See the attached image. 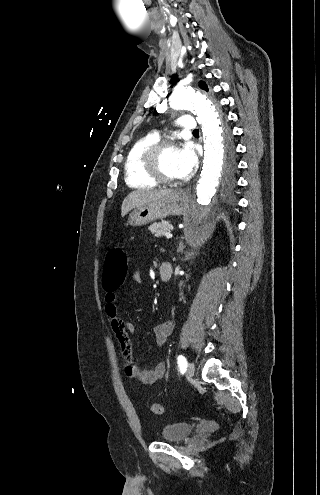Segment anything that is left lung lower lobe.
Instances as JSON below:
<instances>
[{
    "label": "left lung lower lobe",
    "mask_w": 320,
    "mask_h": 495,
    "mask_svg": "<svg viewBox=\"0 0 320 495\" xmlns=\"http://www.w3.org/2000/svg\"><path fill=\"white\" fill-rule=\"evenodd\" d=\"M224 131H225V132H229V130H228V128H227V127H225V130H224Z\"/></svg>",
    "instance_id": "obj_1"
}]
</instances>
